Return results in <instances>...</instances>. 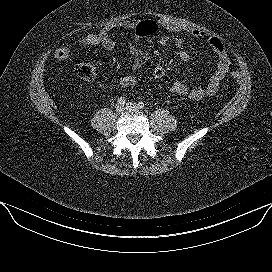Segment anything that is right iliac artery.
Here are the masks:
<instances>
[{
    "label": "right iliac artery",
    "mask_w": 272,
    "mask_h": 272,
    "mask_svg": "<svg viewBox=\"0 0 272 272\" xmlns=\"http://www.w3.org/2000/svg\"><path fill=\"white\" fill-rule=\"evenodd\" d=\"M117 103H118V105L124 106V104L126 103L125 97H120V98H118Z\"/></svg>",
    "instance_id": "obj_1"
}]
</instances>
